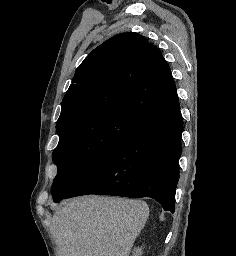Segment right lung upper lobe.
<instances>
[{"label":"right lung upper lobe","mask_w":236,"mask_h":256,"mask_svg":"<svg viewBox=\"0 0 236 256\" xmlns=\"http://www.w3.org/2000/svg\"><path fill=\"white\" fill-rule=\"evenodd\" d=\"M178 100L160 50L136 33L118 34L81 63L67 90L57 132L103 114L127 111L142 121Z\"/></svg>","instance_id":"right-lung-upper-lobe-1"}]
</instances>
